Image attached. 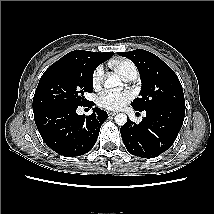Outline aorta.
<instances>
[{
	"mask_svg": "<svg viewBox=\"0 0 214 214\" xmlns=\"http://www.w3.org/2000/svg\"><path fill=\"white\" fill-rule=\"evenodd\" d=\"M120 85H121V79L116 74H112L111 76H109L104 83L105 88H115ZM115 122L119 126L125 125L127 122L126 114H124V113L117 114L115 116Z\"/></svg>",
	"mask_w": 214,
	"mask_h": 214,
	"instance_id": "762f6f07",
	"label": "aorta"
}]
</instances>
